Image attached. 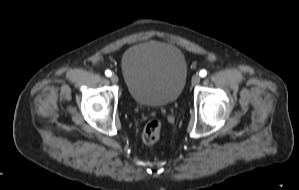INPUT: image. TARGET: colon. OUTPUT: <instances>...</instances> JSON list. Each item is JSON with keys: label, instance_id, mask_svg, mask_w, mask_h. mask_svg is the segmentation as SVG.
I'll return each instance as SVG.
<instances>
[{"label": "colon", "instance_id": "5ec220e1", "mask_svg": "<svg viewBox=\"0 0 299 190\" xmlns=\"http://www.w3.org/2000/svg\"><path fill=\"white\" fill-rule=\"evenodd\" d=\"M163 124L160 120L154 119L149 121L142 132L143 141L146 144H154L156 143L162 133Z\"/></svg>", "mask_w": 299, "mask_h": 190}]
</instances>
